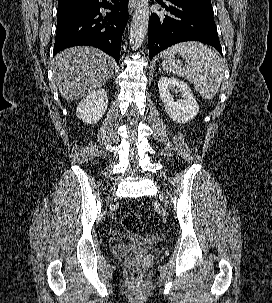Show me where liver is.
I'll return each mask as SVG.
<instances>
[{"mask_svg":"<svg viewBox=\"0 0 272 303\" xmlns=\"http://www.w3.org/2000/svg\"><path fill=\"white\" fill-rule=\"evenodd\" d=\"M115 66L114 59L97 48L73 47L55 56L53 80L65 100L75 101L104 86Z\"/></svg>","mask_w":272,"mask_h":303,"instance_id":"1","label":"liver"}]
</instances>
